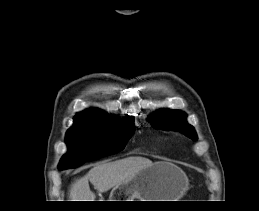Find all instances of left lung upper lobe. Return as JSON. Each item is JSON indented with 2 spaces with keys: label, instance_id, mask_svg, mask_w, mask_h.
Listing matches in <instances>:
<instances>
[{
  "label": "left lung upper lobe",
  "instance_id": "left-lung-upper-lobe-1",
  "mask_svg": "<svg viewBox=\"0 0 259 211\" xmlns=\"http://www.w3.org/2000/svg\"><path fill=\"white\" fill-rule=\"evenodd\" d=\"M186 115L180 111H160L149 118L155 128L174 130L183 133L192 140H197L194 128L185 121Z\"/></svg>",
  "mask_w": 259,
  "mask_h": 211
}]
</instances>
